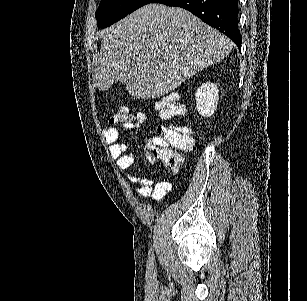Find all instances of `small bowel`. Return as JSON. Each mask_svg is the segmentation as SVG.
I'll list each match as a JSON object with an SVG mask.
<instances>
[{
    "mask_svg": "<svg viewBox=\"0 0 307 301\" xmlns=\"http://www.w3.org/2000/svg\"><path fill=\"white\" fill-rule=\"evenodd\" d=\"M103 136L106 143L109 145V151L116 160L117 167L120 171H128L134 164V154L130 150V145L120 141V130L116 125H108L103 130ZM156 138H150L146 142V147L149 148L150 143L155 142ZM148 161L153 164L154 159L150 154H147ZM131 179L138 187L134 190V194L140 198H150L152 202L159 203L172 190V184L168 181L155 182L154 177L143 178L131 175Z\"/></svg>",
    "mask_w": 307,
    "mask_h": 301,
    "instance_id": "c3829d8e",
    "label": "small bowel"
}]
</instances>
